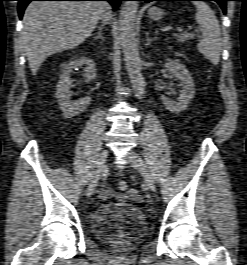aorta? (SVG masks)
I'll return each instance as SVG.
<instances>
[{
    "label": "aorta",
    "instance_id": "1",
    "mask_svg": "<svg viewBox=\"0 0 247 265\" xmlns=\"http://www.w3.org/2000/svg\"><path fill=\"white\" fill-rule=\"evenodd\" d=\"M138 11L137 1H126L120 11L119 35L122 51L135 97L141 99L145 93V80L141 71V60L137 47L135 21Z\"/></svg>",
    "mask_w": 247,
    "mask_h": 265
}]
</instances>
